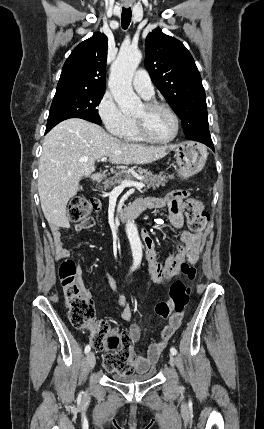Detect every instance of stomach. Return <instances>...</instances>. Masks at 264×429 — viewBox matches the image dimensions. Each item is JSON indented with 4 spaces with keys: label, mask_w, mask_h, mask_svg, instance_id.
Masks as SVG:
<instances>
[{
    "label": "stomach",
    "mask_w": 264,
    "mask_h": 429,
    "mask_svg": "<svg viewBox=\"0 0 264 429\" xmlns=\"http://www.w3.org/2000/svg\"><path fill=\"white\" fill-rule=\"evenodd\" d=\"M208 152L204 145L195 142H183L175 147L178 175L189 178L200 172L207 160Z\"/></svg>",
    "instance_id": "stomach-1"
}]
</instances>
